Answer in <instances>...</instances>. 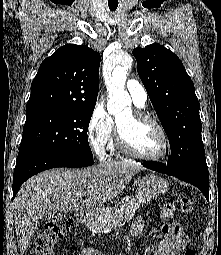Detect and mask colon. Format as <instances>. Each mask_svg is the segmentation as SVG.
I'll list each match as a JSON object with an SVG mask.
<instances>
[{
  "label": "colon",
  "instance_id": "colon-1",
  "mask_svg": "<svg viewBox=\"0 0 221 255\" xmlns=\"http://www.w3.org/2000/svg\"><path fill=\"white\" fill-rule=\"evenodd\" d=\"M180 209L185 213H191L194 202L190 197H182L179 201ZM174 208L166 204L162 208L161 217L167 221L173 215ZM165 223L163 224V226ZM72 226V219L67 214H57L46 221L41 231L34 238L29 248V255H53L55 243L62 238ZM182 255H195L193 249H185Z\"/></svg>",
  "mask_w": 221,
  "mask_h": 255
}]
</instances>
